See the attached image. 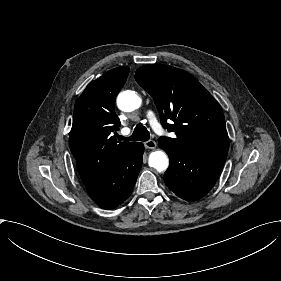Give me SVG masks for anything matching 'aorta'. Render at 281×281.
Returning <instances> with one entry per match:
<instances>
[{"mask_svg":"<svg viewBox=\"0 0 281 281\" xmlns=\"http://www.w3.org/2000/svg\"><path fill=\"white\" fill-rule=\"evenodd\" d=\"M117 106L124 112H131L138 109L142 104V99L134 91L126 90L117 96ZM148 164L158 172L165 171L169 166V159L165 152L156 150L150 153Z\"/></svg>","mask_w":281,"mask_h":281,"instance_id":"obj_1","label":"aorta"}]
</instances>
